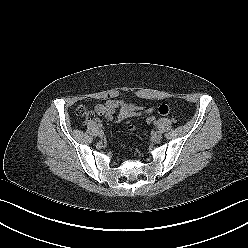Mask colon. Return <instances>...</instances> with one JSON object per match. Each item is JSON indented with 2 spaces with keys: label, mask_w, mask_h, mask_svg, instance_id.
<instances>
[{
  "label": "colon",
  "mask_w": 248,
  "mask_h": 248,
  "mask_svg": "<svg viewBox=\"0 0 248 248\" xmlns=\"http://www.w3.org/2000/svg\"><path fill=\"white\" fill-rule=\"evenodd\" d=\"M77 114L81 117H84L86 119H90L92 117V113L85 107L81 106L77 109ZM155 122V117L154 116H148L146 118V123L148 125H151Z\"/></svg>",
  "instance_id": "1"
}]
</instances>
